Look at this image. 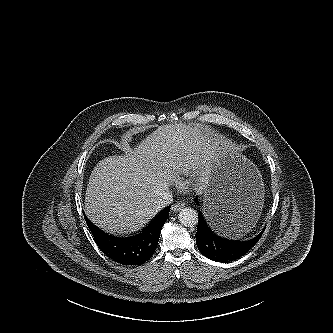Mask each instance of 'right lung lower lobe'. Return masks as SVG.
Masks as SVG:
<instances>
[{"mask_svg":"<svg viewBox=\"0 0 333 333\" xmlns=\"http://www.w3.org/2000/svg\"><path fill=\"white\" fill-rule=\"evenodd\" d=\"M169 208H164L141 233L131 237L109 235L84 217L95 242L107 257L122 265H139L148 261L155 252Z\"/></svg>","mask_w":333,"mask_h":333,"instance_id":"right-lung-lower-lobe-1","label":"right lung lower lobe"}]
</instances>
